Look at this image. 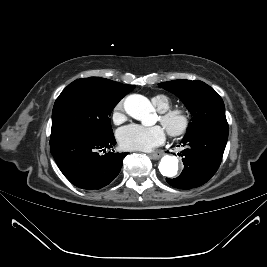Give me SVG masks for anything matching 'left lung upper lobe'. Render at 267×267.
I'll return each mask as SVG.
<instances>
[{
  "instance_id": "1",
  "label": "left lung upper lobe",
  "mask_w": 267,
  "mask_h": 267,
  "mask_svg": "<svg viewBox=\"0 0 267 267\" xmlns=\"http://www.w3.org/2000/svg\"><path fill=\"white\" fill-rule=\"evenodd\" d=\"M158 86L178 96L190 110L193 117L186 136L208 129L228 130L223 100L209 85L198 80H173Z\"/></svg>"
}]
</instances>
